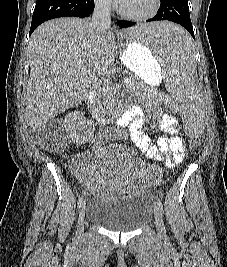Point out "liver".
I'll list each match as a JSON object with an SVG mask.
<instances>
[{
    "label": "liver",
    "instance_id": "6515ba94",
    "mask_svg": "<svg viewBox=\"0 0 227 267\" xmlns=\"http://www.w3.org/2000/svg\"><path fill=\"white\" fill-rule=\"evenodd\" d=\"M125 33H133L132 27L119 35ZM116 55L115 34L110 29L96 32L89 20L67 17L40 25L28 46L26 106L31 132L79 104Z\"/></svg>",
    "mask_w": 227,
    "mask_h": 267
}]
</instances>
